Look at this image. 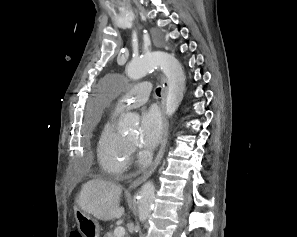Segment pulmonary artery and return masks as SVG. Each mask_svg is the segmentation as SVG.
Returning <instances> with one entry per match:
<instances>
[{
	"label": "pulmonary artery",
	"mask_w": 297,
	"mask_h": 237,
	"mask_svg": "<svg viewBox=\"0 0 297 237\" xmlns=\"http://www.w3.org/2000/svg\"><path fill=\"white\" fill-rule=\"evenodd\" d=\"M151 90L152 86L146 81L132 86L125 96V106L137 107L144 104L148 100ZM122 108V106H118L116 109L120 111Z\"/></svg>",
	"instance_id": "e3ab8cb5"
}]
</instances>
